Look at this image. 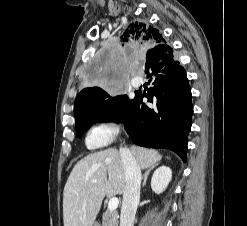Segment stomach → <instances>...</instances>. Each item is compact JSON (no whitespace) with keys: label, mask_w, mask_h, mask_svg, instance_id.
Listing matches in <instances>:
<instances>
[{"label":"stomach","mask_w":247,"mask_h":226,"mask_svg":"<svg viewBox=\"0 0 247 226\" xmlns=\"http://www.w3.org/2000/svg\"><path fill=\"white\" fill-rule=\"evenodd\" d=\"M92 226H99L98 224H94V225H92Z\"/></svg>","instance_id":"0dacf381"}]
</instances>
